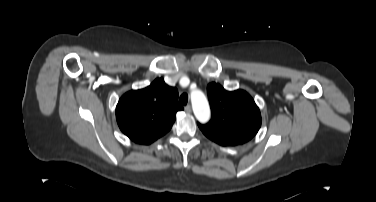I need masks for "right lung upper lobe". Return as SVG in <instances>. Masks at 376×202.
I'll return each mask as SVG.
<instances>
[{
    "mask_svg": "<svg viewBox=\"0 0 376 202\" xmlns=\"http://www.w3.org/2000/svg\"><path fill=\"white\" fill-rule=\"evenodd\" d=\"M181 110L177 89L157 78L144 89L125 93L117 104L116 119L132 141L148 145L171 129Z\"/></svg>",
    "mask_w": 376,
    "mask_h": 202,
    "instance_id": "obj_1",
    "label": "right lung upper lobe"
}]
</instances>
